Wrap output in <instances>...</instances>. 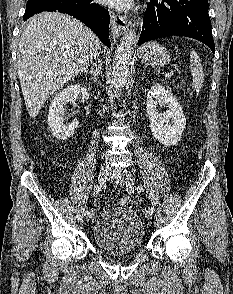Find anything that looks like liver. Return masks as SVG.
Returning a JSON list of instances; mask_svg holds the SVG:
<instances>
[{
	"mask_svg": "<svg viewBox=\"0 0 233 294\" xmlns=\"http://www.w3.org/2000/svg\"><path fill=\"white\" fill-rule=\"evenodd\" d=\"M100 48L97 36L68 15L43 12L33 16L21 35L17 56L29 116L35 118L50 95L85 72Z\"/></svg>",
	"mask_w": 233,
	"mask_h": 294,
	"instance_id": "1",
	"label": "liver"
}]
</instances>
